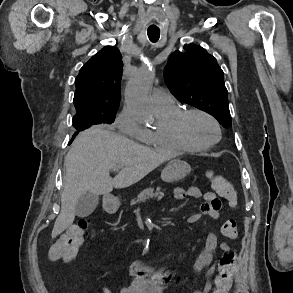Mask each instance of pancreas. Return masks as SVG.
Wrapping results in <instances>:
<instances>
[{
    "label": "pancreas",
    "mask_w": 293,
    "mask_h": 293,
    "mask_svg": "<svg viewBox=\"0 0 293 293\" xmlns=\"http://www.w3.org/2000/svg\"><path fill=\"white\" fill-rule=\"evenodd\" d=\"M164 193L160 191V187L156 188V191H154V188L149 187L144 189L142 192H140L137 196V198L131 200V205H135L137 203L143 202L145 200H149L152 198H163Z\"/></svg>",
    "instance_id": "1"
}]
</instances>
